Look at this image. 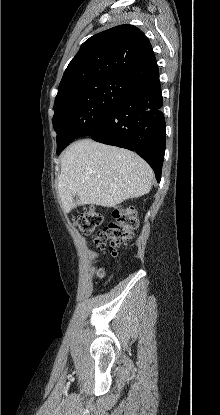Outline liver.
<instances>
[{"label":"liver","mask_w":220,"mask_h":415,"mask_svg":"<svg viewBox=\"0 0 220 415\" xmlns=\"http://www.w3.org/2000/svg\"><path fill=\"white\" fill-rule=\"evenodd\" d=\"M152 179V169L137 154L83 139L63 154L58 192L66 212L86 204L114 207L149 193Z\"/></svg>","instance_id":"1"}]
</instances>
